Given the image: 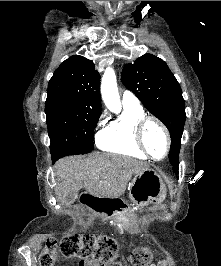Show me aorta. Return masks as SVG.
Wrapping results in <instances>:
<instances>
[{
  "label": "aorta",
  "instance_id": "aorta-1",
  "mask_svg": "<svg viewBox=\"0 0 221 266\" xmlns=\"http://www.w3.org/2000/svg\"><path fill=\"white\" fill-rule=\"evenodd\" d=\"M101 96L106 107L111 112L119 113L121 111L116 75L112 68H107L102 77Z\"/></svg>",
  "mask_w": 221,
  "mask_h": 266
}]
</instances>
